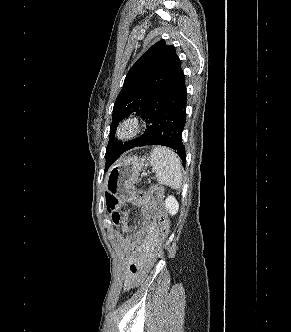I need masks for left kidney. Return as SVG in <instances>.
I'll list each match as a JSON object with an SVG mask.
<instances>
[{"mask_svg":"<svg viewBox=\"0 0 291 332\" xmlns=\"http://www.w3.org/2000/svg\"><path fill=\"white\" fill-rule=\"evenodd\" d=\"M164 204L165 208L171 215H175L179 210V203L174 196H168Z\"/></svg>","mask_w":291,"mask_h":332,"instance_id":"obj_1","label":"left kidney"}]
</instances>
